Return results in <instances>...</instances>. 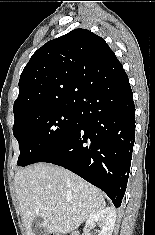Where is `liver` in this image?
I'll use <instances>...</instances> for the list:
<instances>
[{
  "label": "liver",
  "instance_id": "6515ba94",
  "mask_svg": "<svg viewBox=\"0 0 155 235\" xmlns=\"http://www.w3.org/2000/svg\"><path fill=\"white\" fill-rule=\"evenodd\" d=\"M17 199L27 235L33 220L42 218L47 233L67 234L106 206L94 186L61 167L38 163L15 174Z\"/></svg>",
  "mask_w": 155,
  "mask_h": 235
}]
</instances>
